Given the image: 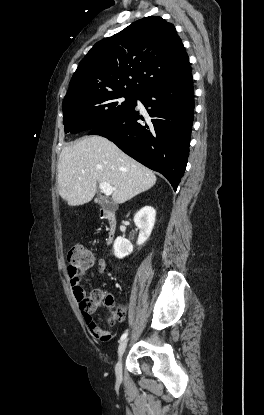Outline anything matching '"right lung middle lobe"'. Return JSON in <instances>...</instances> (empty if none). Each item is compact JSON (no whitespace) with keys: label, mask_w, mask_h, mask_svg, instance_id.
Listing matches in <instances>:
<instances>
[{"label":"right lung middle lobe","mask_w":264,"mask_h":415,"mask_svg":"<svg viewBox=\"0 0 264 415\" xmlns=\"http://www.w3.org/2000/svg\"><path fill=\"white\" fill-rule=\"evenodd\" d=\"M138 95L119 91L87 94L63 101L65 133L92 130L131 110Z\"/></svg>","instance_id":"dd1d6c3e"}]
</instances>
